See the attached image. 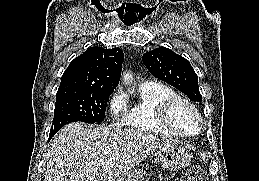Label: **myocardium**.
Masks as SVG:
<instances>
[{"instance_id":"1","label":"myocardium","mask_w":259,"mask_h":181,"mask_svg":"<svg viewBox=\"0 0 259 181\" xmlns=\"http://www.w3.org/2000/svg\"><path fill=\"white\" fill-rule=\"evenodd\" d=\"M184 105L191 110L196 118V129L194 131H186L179 127L174 121V114L176 109L180 106ZM160 121L161 123L178 134L179 136L190 137L198 135L202 130V117L197 107L187 98L181 97L179 95L173 96L167 99L160 108Z\"/></svg>"}]
</instances>
